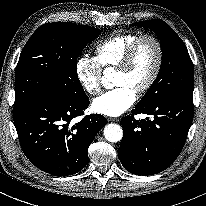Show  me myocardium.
I'll return each instance as SVG.
<instances>
[{
  "label": "myocardium",
  "instance_id": "1",
  "mask_svg": "<svg viewBox=\"0 0 206 206\" xmlns=\"http://www.w3.org/2000/svg\"><path fill=\"white\" fill-rule=\"evenodd\" d=\"M144 40H151L155 44V47H156V50H157V59H156L155 67H154L153 72L150 75L149 79L147 80V82L143 86H141L136 91V93L138 95H142V94L148 92L153 87V85L156 83V81L159 77V74L161 72L162 65H163V59H164V51H163V46H162L161 41L155 35H152V34L140 35L130 45V47L128 48L126 54L124 55V58H123L122 62L116 68V70L118 72H124V73L127 72L130 69V67H131V65L134 61V58L136 56V53L138 51V48H139L140 44Z\"/></svg>",
  "mask_w": 206,
  "mask_h": 206
}]
</instances>
